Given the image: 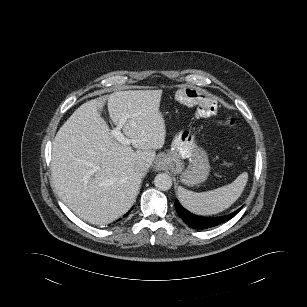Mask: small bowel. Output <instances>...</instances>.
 Masks as SVG:
<instances>
[{
	"label": "small bowel",
	"mask_w": 307,
	"mask_h": 307,
	"mask_svg": "<svg viewBox=\"0 0 307 307\" xmlns=\"http://www.w3.org/2000/svg\"><path fill=\"white\" fill-rule=\"evenodd\" d=\"M178 98L184 104H196L195 115L198 118L210 117L216 113V103L212 99L199 94L195 90H181L178 94Z\"/></svg>",
	"instance_id": "small-bowel-1"
}]
</instances>
